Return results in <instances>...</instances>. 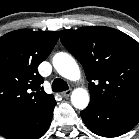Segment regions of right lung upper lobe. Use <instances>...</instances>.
Returning a JSON list of instances; mask_svg holds the SVG:
<instances>
[{"mask_svg":"<svg viewBox=\"0 0 139 139\" xmlns=\"http://www.w3.org/2000/svg\"><path fill=\"white\" fill-rule=\"evenodd\" d=\"M55 31L16 30L0 37V131L54 100L41 88L37 67L58 40Z\"/></svg>","mask_w":139,"mask_h":139,"instance_id":"1","label":"right lung upper lobe"}]
</instances>
